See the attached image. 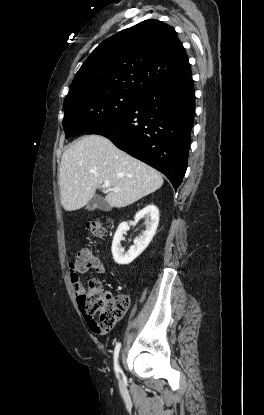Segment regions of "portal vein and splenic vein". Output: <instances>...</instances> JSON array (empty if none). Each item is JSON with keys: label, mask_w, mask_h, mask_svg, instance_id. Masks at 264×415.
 Listing matches in <instances>:
<instances>
[{"label": "portal vein and splenic vein", "mask_w": 264, "mask_h": 415, "mask_svg": "<svg viewBox=\"0 0 264 415\" xmlns=\"http://www.w3.org/2000/svg\"><path fill=\"white\" fill-rule=\"evenodd\" d=\"M102 187H103L104 189H109V190L114 191V192H119V191H120V189H119V188H116V187H112V188H110V184H109V182H108V181H105V182L103 183Z\"/></svg>", "instance_id": "obj_1"}]
</instances>
